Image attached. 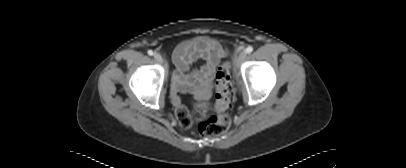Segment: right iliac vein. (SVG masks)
Wrapping results in <instances>:
<instances>
[{
    "instance_id": "obj_1",
    "label": "right iliac vein",
    "mask_w": 406,
    "mask_h": 168,
    "mask_svg": "<svg viewBox=\"0 0 406 168\" xmlns=\"http://www.w3.org/2000/svg\"><path fill=\"white\" fill-rule=\"evenodd\" d=\"M154 58L157 62L163 63V57L159 53H155Z\"/></svg>"
}]
</instances>
